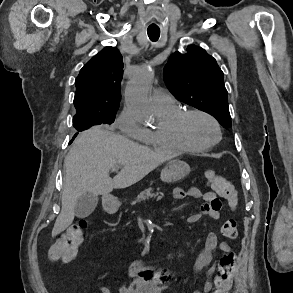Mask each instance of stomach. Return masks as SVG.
<instances>
[{"mask_svg": "<svg viewBox=\"0 0 293 293\" xmlns=\"http://www.w3.org/2000/svg\"><path fill=\"white\" fill-rule=\"evenodd\" d=\"M190 172V166L179 159L171 160L161 171V180L165 183H174L182 180ZM121 203L114 198H107L105 206L109 209H118Z\"/></svg>", "mask_w": 293, "mask_h": 293, "instance_id": "obj_1", "label": "stomach"}]
</instances>
